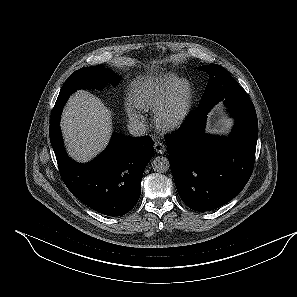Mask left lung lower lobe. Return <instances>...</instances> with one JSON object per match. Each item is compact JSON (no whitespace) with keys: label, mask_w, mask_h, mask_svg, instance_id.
Wrapping results in <instances>:
<instances>
[{"label":"left lung lower lobe","mask_w":297,"mask_h":297,"mask_svg":"<svg viewBox=\"0 0 297 297\" xmlns=\"http://www.w3.org/2000/svg\"><path fill=\"white\" fill-rule=\"evenodd\" d=\"M234 128L228 138L204 132L212 103L189 114L183 126L165 138L177 191L195 211L216 209L237 196L254 166L257 115L250 97L225 98Z\"/></svg>","instance_id":"1"}]
</instances>
